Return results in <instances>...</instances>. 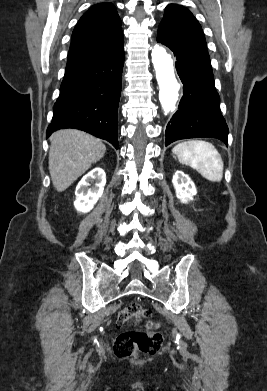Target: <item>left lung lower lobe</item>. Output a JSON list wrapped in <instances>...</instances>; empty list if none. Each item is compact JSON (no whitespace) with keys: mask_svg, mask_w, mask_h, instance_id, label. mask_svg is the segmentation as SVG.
<instances>
[{"mask_svg":"<svg viewBox=\"0 0 267 391\" xmlns=\"http://www.w3.org/2000/svg\"><path fill=\"white\" fill-rule=\"evenodd\" d=\"M157 41L174 53L184 92L178 111L167 125L165 145L198 137L217 138L227 143L228 127L219 108L220 97L214 86L206 46L161 29Z\"/></svg>","mask_w":267,"mask_h":391,"instance_id":"1","label":"left lung lower lobe"}]
</instances>
